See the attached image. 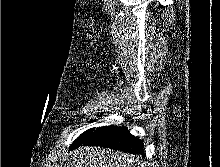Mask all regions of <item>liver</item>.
Here are the masks:
<instances>
[{
	"mask_svg": "<svg viewBox=\"0 0 220 167\" xmlns=\"http://www.w3.org/2000/svg\"><path fill=\"white\" fill-rule=\"evenodd\" d=\"M71 167H144V165L139 158L120 151L80 147L74 152Z\"/></svg>",
	"mask_w": 220,
	"mask_h": 167,
	"instance_id": "liver-1",
	"label": "liver"
}]
</instances>
